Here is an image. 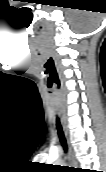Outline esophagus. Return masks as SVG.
<instances>
[{
  "instance_id": "1",
  "label": "esophagus",
  "mask_w": 106,
  "mask_h": 172,
  "mask_svg": "<svg viewBox=\"0 0 106 172\" xmlns=\"http://www.w3.org/2000/svg\"><path fill=\"white\" fill-rule=\"evenodd\" d=\"M62 126H63V130H64V134L67 140V156H68V160L69 163L72 167H75L77 165L76 159L74 157L71 145H70V140H69V131H68V126H67V121L64 115H62Z\"/></svg>"
}]
</instances>
